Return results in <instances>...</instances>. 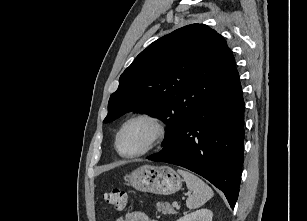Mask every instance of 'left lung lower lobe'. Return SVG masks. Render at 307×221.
Listing matches in <instances>:
<instances>
[{
  "label": "left lung lower lobe",
  "mask_w": 307,
  "mask_h": 221,
  "mask_svg": "<svg viewBox=\"0 0 307 221\" xmlns=\"http://www.w3.org/2000/svg\"><path fill=\"white\" fill-rule=\"evenodd\" d=\"M244 108L236 70L149 160L178 165L201 175L223 191L234 208L243 164Z\"/></svg>",
  "instance_id": "0a47b994"
}]
</instances>
